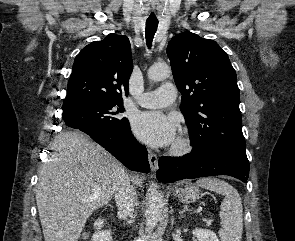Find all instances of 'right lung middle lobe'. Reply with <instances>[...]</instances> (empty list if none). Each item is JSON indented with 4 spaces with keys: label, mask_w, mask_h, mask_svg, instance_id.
<instances>
[{
    "label": "right lung middle lobe",
    "mask_w": 295,
    "mask_h": 241,
    "mask_svg": "<svg viewBox=\"0 0 295 241\" xmlns=\"http://www.w3.org/2000/svg\"><path fill=\"white\" fill-rule=\"evenodd\" d=\"M124 111L123 102L88 103L63 110V119L72 128L96 125L123 132L130 128Z\"/></svg>",
    "instance_id": "dd1d6c3e"
}]
</instances>
